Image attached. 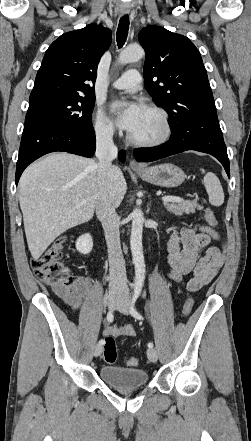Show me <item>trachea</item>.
<instances>
[{
    "instance_id": "3493384b",
    "label": "trachea",
    "mask_w": 251,
    "mask_h": 441,
    "mask_svg": "<svg viewBox=\"0 0 251 441\" xmlns=\"http://www.w3.org/2000/svg\"><path fill=\"white\" fill-rule=\"evenodd\" d=\"M128 30H129V16L124 15L123 17H121L119 21V25L116 33L117 45L119 48H121L125 44L128 36Z\"/></svg>"
}]
</instances>
